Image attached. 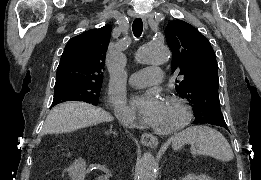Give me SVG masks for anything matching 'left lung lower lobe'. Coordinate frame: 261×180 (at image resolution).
<instances>
[{
  "instance_id": "0a47b994",
  "label": "left lung lower lobe",
  "mask_w": 261,
  "mask_h": 180,
  "mask_svg": "<svg viewBox=\"0 0 261 180\" xmlns=\"http://www.w3.org/2000/svg\"><path fill=\"white\" fill-rule=\"evenodd\" d=\"M206 123H207V124H210L209 122H206ZM206 123H205V124H206ZM193 124H198V123L193 122ZM212 125H213V124H212ZM217 126H221V127H224V128H226V129H228L226 124L217 125Z\"/></svg>"
}]
</instances>
